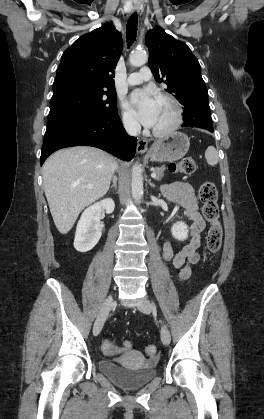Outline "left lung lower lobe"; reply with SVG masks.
I'll return each instance as SVG.
<instances>
[{"mask_svg": "<svg viewBox=\"0 0 264 419\" xmlns=\"http://www.w3.org/2000/svg\"><path fill=\"white\" fill-rule=\"evenodd\" d=\"M182 127H198L213 132V123L208 101L200 103L196 108H184Z\"/></svg>", "mask_w": 264, "mask_h": 419, "instance_id": "left-lung-lower-lobe-1", "label": "left lung lower lobe"}]
</instances>
